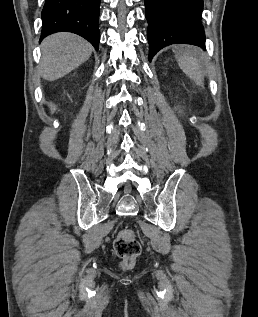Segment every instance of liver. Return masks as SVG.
<instances>
[{"instance_id": "obj_1", "label": "liver", "mask_w": 258, "mask_h": 317, "mask_svg": "<svg viewBox=\"0 0 258 317\" xmlns=\"http://www.w3.org/2000/svg\"><path fill=\"white\" fill-rule=\"evenodd\" d=\"M41 76L57 80L89 58L93 46L72 32L50 34L42 44Z\"/></svg>"}]
</instances>
